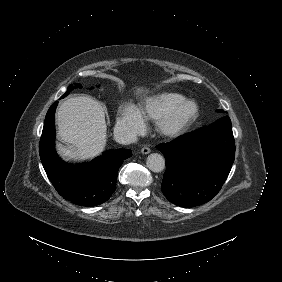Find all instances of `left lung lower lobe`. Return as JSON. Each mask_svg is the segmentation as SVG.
Segmentation results:
<instances>
[{
	"label": "left lung lower lobe",
	"instance_id": "obj_1",
	"mask_svg": "<svg viewBox=\"0 0 282 282\" xmlns=\"http://www.w3.org/2000/svg\"><path fill=\"white\" fill-rule=\"evenodd\" d=\"M157 148L166 158L165 197L184 208L204 204L220 191L234 162L231 120L224 116Z\"/></svg>",
	"mask_w": 282,
	"mask_h": 282
}]
</instances>
